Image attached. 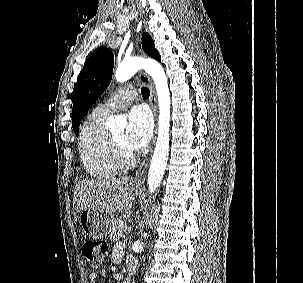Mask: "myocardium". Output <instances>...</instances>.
<instances>
[{
    "label": "myocardium",
    "mask_w": 303,
    "mask_h": 283,
    "mask_svg": "<svg viewBox=\"0 0 303 283\" xmlns=\"http://www.w3.org/2000/svg\"><path fill=\"white\" fill-rule=\"evenodd\" d=\"M109 141L115 162L119 168L124 169L132 167L135 163L133 154L118 143L112 135H109Z\"/></svg>",
    "instance_id": "f54148a6"
}]
</instances>
